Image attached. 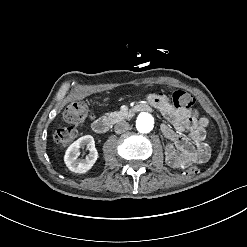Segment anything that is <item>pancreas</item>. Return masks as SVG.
Returning <instances> with one entry per match:
<instances>
[{
    "mask_svg": "<svg viewBox=\"0 0 247 247\" xmlns=\"http://www.w3.org/2000/svg\"><path fill=\"white\" fill-rule=\"evenodd\" d=\"M105 115L110 121H118L123 116L124 117L131 116L130 114L123 112H111V113H106Z\"/></svg>",
    "mask_w": 247,
    "mask_h": 247,
    "instance_id": "1",
    "label": "pancreas"
}]
</instances>
